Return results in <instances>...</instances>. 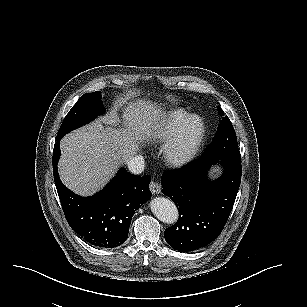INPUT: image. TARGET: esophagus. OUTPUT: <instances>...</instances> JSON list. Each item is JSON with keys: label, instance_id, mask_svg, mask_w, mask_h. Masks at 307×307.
<instances>
[{"label": "esophagus", "instance_id": "esophagus-1", "mask_svg": "<svg viewBox=\"0 0 307 307\" xmlns=\"http://www.w3.org/2000/svg\"><path fill=\"white\" fill-rule=\"evenodd\" d=\"M149 188H150V191L152 194L154 195H157V194H160L161 193V187L160 185L155 182V181H152L149 185Z\"/></svg>", "mask_w": 307, "mask_h": 307}]
</instances>
